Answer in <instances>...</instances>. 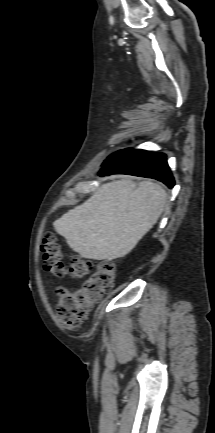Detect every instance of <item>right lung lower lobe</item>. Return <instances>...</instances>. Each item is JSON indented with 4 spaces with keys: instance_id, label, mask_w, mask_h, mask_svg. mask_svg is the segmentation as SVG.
Wrapping results in <instances>:
<instances>
[{
    "instance_id": "right-lung-lower-lobe-1",
    "label": "right lung lower lobe",
    "mask_w": 215,
    "mask_h": 433,
    "mask_svg": "<svg viewBox=\"0 0 215 433\" xmlns=\"http://www.w3.org/2000/svg\"><path fill=\"white\" fill-rule=\"evenodd\" d=\"M129 174L159 180L169 188L174 178L163 153L126 149L104 163L100 175Z\"/></svg>"
}]
</instances>
